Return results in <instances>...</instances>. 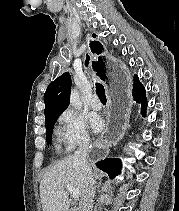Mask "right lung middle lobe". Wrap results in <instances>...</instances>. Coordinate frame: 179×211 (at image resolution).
Listing matches in <instances>:
<instances>
[{"instance_id": "right-lung-middle-lobe-1", "label": "right lung middle lobe", "mask_w": 179, "mask_h": 211, "mask_svg": "<svg viewBox=\"0 0 179 211\" xmlns=\"http://www.w3.org/2000/svg\"><path fill=\"white\" fill-rule=\"evenodd\" d=\"M58 117L59 116H55V117H52L51 119L45 121L46 132H47L46 141H47L48 144H51L53 127H54V124H55Z\"/></svg>"}]
</instances>
